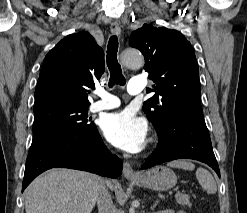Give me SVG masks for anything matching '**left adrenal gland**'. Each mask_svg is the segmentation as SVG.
I'll return each mask as SVG.
<instances>
[{"instance_id": "obj_1", "label": "left adrenal gland", "mask_w": 247, "mask_h": 213, "mask_svg": "<svg viewBox=\"0 0 247 213\" xmlns=\"http://www.w3.org/2000/svg\"><path fill=\"white\" fill-rule=\"evenodd\" d=\"M157 204H158V201L154 203V205L151 207V209L154 210L156 208Z\"/></svg>"}]
</instances>
